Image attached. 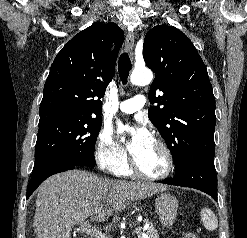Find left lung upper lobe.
<instances>
[{
	"label": "left lung upper lobe",
	"instance_id": "left-lung-upper-lobe-1",
	"mask_svg": "<svg viewBox=\"0 0 247 238\" xmlns=\"http://www.w3.org/2000/svg\"><path fill=\"white\" fill-rule=\"evenodd\" d=\"M143 58L156 74L149 100L158 105L148 116L171 151L175 173L189 157L214 160L215 98L193 43L175 27L156 25L145 36Z\"/></svg>",
	"mask_w": 247,
	"mask_h": 238
}]
</instances>
